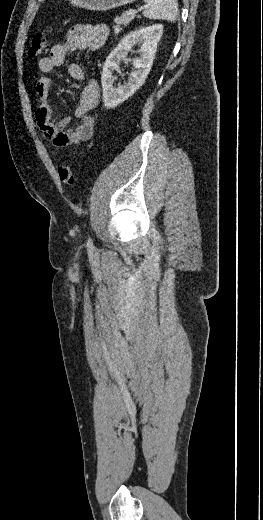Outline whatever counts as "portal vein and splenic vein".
<instances>
[{
    "label": "portal vein and splenic vein",
    "instance_id": "portal-vein-and-splenic-vein-1",
    "mask_svg": "<svg viewBox=\"0 0 263 520\" xmlns=\"http://www.w3.org/2000/svg\"><path fill=\"white\" fill-rule=\"evenodd\" d=\"M148 6L147 5H143V6H140L137 10H135L134 12L137 13V12H140L144 9H146Z\"/></svg>",
    "mask_w": 263,
    "mask_h": 520
}]
</instances>
